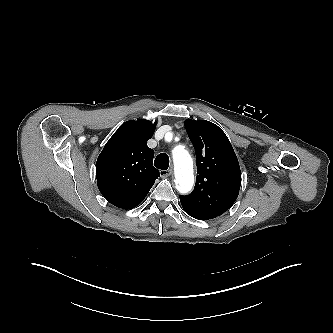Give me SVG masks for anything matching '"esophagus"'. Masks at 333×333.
<instances>
[{
	"label": "esophagus",
	"instance_id": "esophagus-1",
	"mask_svg": "<svg viewBox=\"0 0 333 333\" xmlns=\"http://www.w3.org/2000/svg\"><path fill=\"white\" fill-rule=\"evenodd\" d=\"M173 170L172 168L168 169V170H160V176L161 177H169L170 175H172Z\"/></svg>",
	"mask_w": 333,
	"mask_h": 333
}]
</instances>
